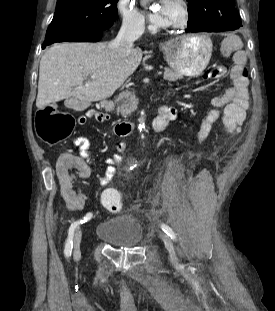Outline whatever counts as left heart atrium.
I'll return each mask as SVG.
<instances>
[{
    "instance_id": "obj_1",
    "label": "left heart atrium",
    "mask_w": 275,
    "mask_h": 311,
    "mask_svg": "<svg viewBox=\"0 0 275 311\" xmlns=\"http://www.w3.org/2000/svg\"><path fill=\"white\" fill-rule=\"evenodd\" d=\"M171 0H160L156 2L149 11L150 21L157 27L168 25V4Z\"/></svg>"
}]
</instances>
